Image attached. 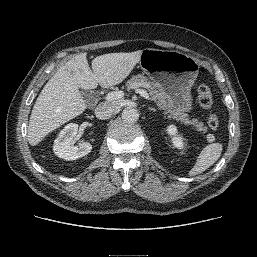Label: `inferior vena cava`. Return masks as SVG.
Wrapping results in <instances>:
<instances>
[{
	"label": "inferior vena cava",
	"instance_id": "1",
	"mask_svg": "<svg viewBox=\"0 0 257 257\" xmlns=\"http://www.w3.org/2000/svg\"><path fill=\"white\" fill-rule=\"evenodd\" d=\"M118 109V105L114 103H101L95 109V115L99 119L110 118Z\"/></svg>",
	"mask_w": 257,
	"mask_h": 257
}]
</instances>
